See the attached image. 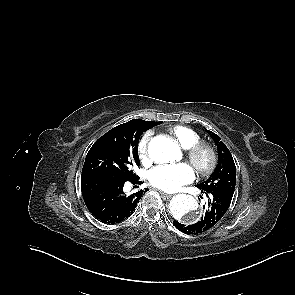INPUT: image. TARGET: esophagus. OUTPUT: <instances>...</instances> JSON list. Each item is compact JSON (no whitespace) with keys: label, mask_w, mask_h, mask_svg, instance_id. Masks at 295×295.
<instances>
[{"label":"esophagus","mask_w":295,"mask_h":295,"mask_svg":"<svg viewBox=\"0 0 295 295\" xmlns=\"http://www.w3.org/2000/svg\"><path fill=\"white\" fill-rule=\"evenodd\" d=\"M159 192H160L162 197L167 198V199H169V198H171L173 196L172 194H167V193L162 192V191H159Z\"/></svg>","instance_id":"34e87169"}]
</instances>
